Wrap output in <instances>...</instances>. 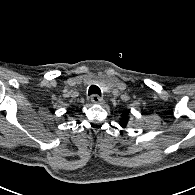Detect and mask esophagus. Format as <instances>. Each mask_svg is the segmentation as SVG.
<instances>
[{
	"label": "esophagus",
	"mask_w": 195,
	"mask_h": 195,
	"mask_svg": "<svg viewBox=\"0 0 195 195\" xmlns=\"http://www.w3.org/2000/svg\"><path fill=\"white\" fill-rule=\"evenodd\" d=\"M91 102L94 104H101V103H103V98H101L100 96H98L96 94H93L91 96Z\"/></svg>",
	"instance_id": "1"
}]
</instances>
